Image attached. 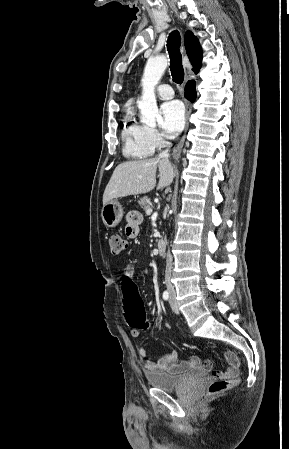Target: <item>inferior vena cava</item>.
I'll use <instances>...</instances> for the list:
<instances>
[{
  "label": "inferior vena cava",
  "mask_w": 289,
  "mask_h": 449,
  "mask_svg": "<svg viewBox=\"0 0 289 449\" xmlns=\"http://www.w3.org/2000/svg\"><path fill=\"white\" fill-rule=\"evenodd\" d=\"M159 158H163V159H168L169 158V151L168 149L164 150L163 152H161L159 154ZM171 268H172V256L170 253H168L167 255V259H166V270H165V284L167 287V290L170 293H174V286L171 284Z\"/></svg>",
  "instance_id": "1"
}]
</instances>
